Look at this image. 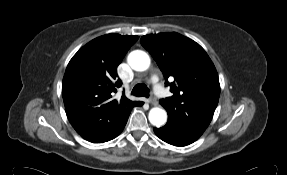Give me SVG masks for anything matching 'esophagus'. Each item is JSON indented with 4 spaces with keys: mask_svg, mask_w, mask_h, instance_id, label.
<instances>
[{
    "mask_svg": "<svg viewBox=\"0 0 287 175\" xmlns=\"http://www.w3.org/2000/svg\"><path fill=\"white\" fill-rule=\"evenodd\" d=\"M149 103L154 105V106H156L158 104L156 98L153 95L150 96Z\"/></svg>",
    "mask_w": 287,
    "mask_h": 175,
    "instance_id": "1",
    "label": "esophagus"
}]
</instances>
